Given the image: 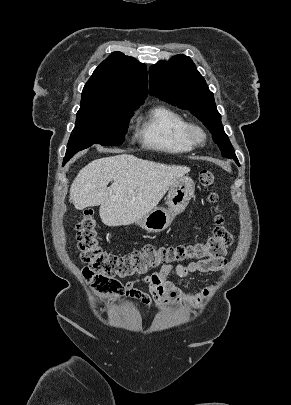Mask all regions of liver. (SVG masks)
<instances>
[{"mask_svg": "<svg viewBox=\"0 0 291 405\" xmlns=\"http://www.w3.org/2000/svg\"><path fill=\"white\" fill-rule=\"evenodd\" d=\"M189 171L130 154L100 158L79 171L70 197L78 210L100 205V218L107 226L129 225L156 208L171 185Z\"/></svg>", "mask_w": 291, "mask_h": 405, "instance_id": "1", "label": "liver"}]
</instances>
